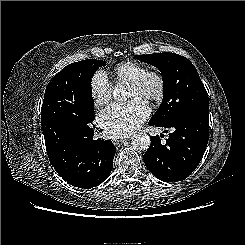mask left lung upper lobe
<instances>
[{"label": "left lung upper lobe", "mask_w": 245, "mask_h": 245, "mask_svg": "<svg viewBox=\"0 0 245 245\" xmlns=\"http://www.w3.org/2000/svg\"><path fill=\"white\" fill-rule=\"evenodd\" d=\"M140 61L159 68L163 79V100L151 119L168 124L197 109H209L206 89L194 65L175 53L136 55Z\"/></svg>", "instance_id": "5c2ea615"}]
</instances>
